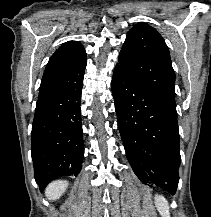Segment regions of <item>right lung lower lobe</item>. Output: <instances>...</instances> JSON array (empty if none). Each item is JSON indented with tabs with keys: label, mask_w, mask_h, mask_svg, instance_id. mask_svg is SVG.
<instances>
[{
	"label": "right lung lower lobe",
	"mask_w": 211,
	"mask_h": 217,
	"mask_svg": "<svg viewBox=\"0 0 211 217\" xmlns=\"http://www.w3.org/2000/svg\"><path fill=\"white\" fill-rule=\"evenodd\" d=\"M83 75L76 83L37 100L31 134L34 177L40 191L54 179L77 176L84 144L81 124Z\"/></svg>",
	"instance_id": "98d812e1"
}]
</instances>
